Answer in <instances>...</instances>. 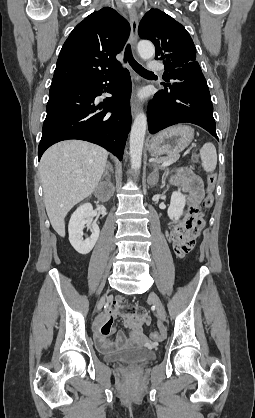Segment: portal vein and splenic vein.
<instances>
[{
	"instance_id": "18ae733b",
	"label": "portal vein and splenic vein",
	"mask_w": 255,
	"mask_h": 418,
	"mask_svg": "<svg viewBox=\"0 0 255 418\" xmlns=\"http://www.w3.org/2000/svg\"><path fill=\"white\" fill-rule=\"evenodd\" d=\"M172 163H173L172 161H164L162 163V167H167V166L171 165Z\"/></svg>"
}]
</instances>
